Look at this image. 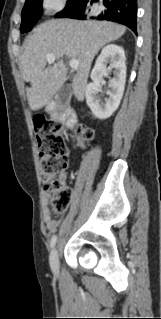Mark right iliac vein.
Here are the masks:
<instances>
[{"label":"right iliac vein","mask_w":161,"mask_h":319,"mask_svg":"<svg viewBox=\"0 0 161 319\" xmlns=\"http://www.w3.org/2000/svg\"><path fill=\"white\" fill-rule=\"evenodd\" d=\"M49 261L52 272L57 275L59 273V255L57 248L51 251Z\"/></svg>","instance_id":"obj_1"}]
</instances>
